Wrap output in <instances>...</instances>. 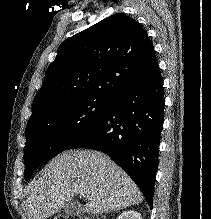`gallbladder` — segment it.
<instances>
[{
  "label": "gallbladder",
  "mask_w": 211,
  "mask_h": 219,
  "mask_svg": "<svg viewBox=\"0 0 211 219\" xmlns=\"http://www.w3.org/2000/svg\"><path fill=\"white\" fill-rule=\"evenodd\" d=\"M62 209L68 215H79L83 212L80 204L76 201L66 202Z\"/></svg>",
  "instance_id": "bac80fb5"
}]
</instances>
